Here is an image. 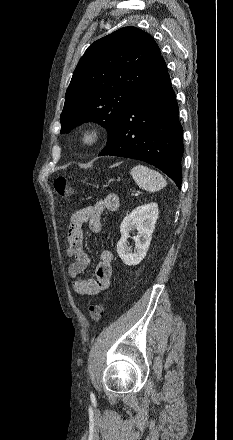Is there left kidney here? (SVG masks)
I'll return each instance as SVG.
<instances>
[{
    "label": "left kidney",
    "mask_w": 233,
    "mask_h": 440,
    "mask_svg": "<svg viewBox=\"0 0 233 440\" xmlns=\"http://www.w3.org/2000/svg\"><path fill=\"white\" fill-rule=\"evenodd\" d=\"M158 205L149 203L134 209L127 215L120 226L121 238L117 243V253L128 266L139 264L148 251L152 233L158 219ZM137 229L138 234L133 237L135 252L127 246L130 231Z\"/></svg>",
    "instance_id": "5707ae66"
}]
</instances>
